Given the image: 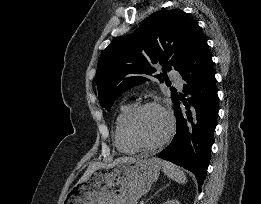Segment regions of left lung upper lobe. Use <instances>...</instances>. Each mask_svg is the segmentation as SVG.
Returning a JSON list of instances; mask_svg holds the SVG:
<instances>
[{
	"instance_id": "left-lung-upper-lobe-1",
	"label": "left lung upper lobe",
	"mask_w": 261,
	"mask_h": 204,
	"mask_svg": "<svg viewBox=\"0 0 261 204\" xmlns=\"http://www.w3.org/2000/svg\"><path fill=\"white\" fill-rule=\"evenodd\" d=\"M198 23L180 9L164 10L149 16L132 34L113 41L102 52L97 67L99 102L109 110L114 101L128 89L153 76L155 65L166 70L180 71ZM172 101L177 92L171 87Z\"/></svg>"
}]
</instances>
